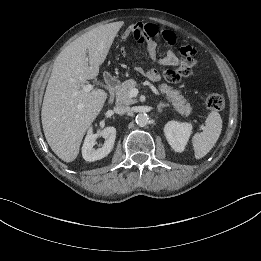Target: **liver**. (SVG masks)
Listing matches in <instances>:
<instances>
[{"instance_id":"6515ba94","label":"liver","mask_w":261,"mask_h":261,"mask_svg":"<svg viewBox=\"0 0 261 261\" xmlns=\"http://www.w3.org/2000/svg\"><path fill=\"white\" fill-rule=\"evenodd\" d=\"M118 30L114 23L94 28L71 42L54 62L41 120L49 146L65 162L76 159L83 136L107 99L104 90L85 92L83 86L98 75Z\"/></svg>"}]
</instances>
